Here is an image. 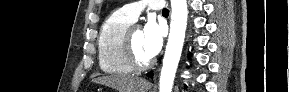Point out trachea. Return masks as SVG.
Returning <instances> with one entry per match:
<instances>
[{
  "mask_svg": "<svg viewBox=\"0 0 289 92\" xmlns=\"http://www.w3.org/2000/svg\"><path fill=\"white\" fill-rule=\"evenodd\" d=\"M162 13L164 14H168L169 13V10L167 8L163 9Z\"/></svg>",
  "mask_w": 289,
  "mask_h": 92,
  "instance_id": "3493384b",
  "label": "trachea"
}]
</instances>
